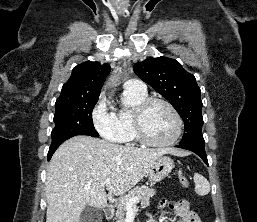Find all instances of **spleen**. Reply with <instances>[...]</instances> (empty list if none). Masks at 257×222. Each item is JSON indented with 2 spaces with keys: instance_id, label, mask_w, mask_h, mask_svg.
<instances>
[{
  "instance_id": "1",
  "label": "spleen",
  "mask_w": 257,
  "mask_h": 222,
  "mask_svg": "<svg viewBox=\"0 0 257 222\" xmlns=\"http://www.w3.org/2000/svg\"><path fill=\"white\" fill-rule=\"evenodd\" d=\"M195 191L198 195L204 196L210 192V184L208 180L201 174L194 175Z\"/></svg>"
}]
</instances>
